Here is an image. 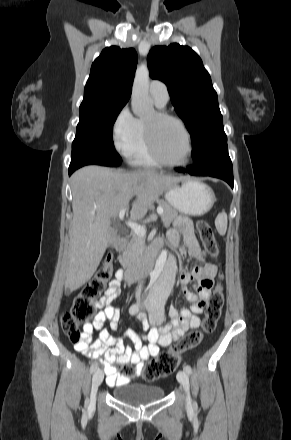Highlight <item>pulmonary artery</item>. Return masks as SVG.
I'll return each instance as SVG.
<instances>
[{
  "label": "pulmonary artery",
  "instance_id": "e3ab8cb5",
  "mask_svg": "<svg viewBox=\"0 0 291 440\" xmlns=\"http://www.w3.org/2000/svg\"><path fill=\"white\" fill-rule=\"evenodd\" d=\"M149 90L158 106L163 107L168 103L169 93L164 82L152 80L150 82Z\"/></svg>",
  "mask_w": 291,
  "mask_h": 440
}]
</instances>
